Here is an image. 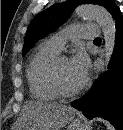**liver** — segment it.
I'll list each match as a JSON object with an SVG mask.
<instances>
[{"mask_svg":"<svg viewBox=\"0 0 123 130\" xmlns=\"http://www.w3.org/2000/svg\"><path fill=\"white\" fill-rule=\"evenodd\" d=\"M73 108L56 102L29 101L18 119V130H60L74 117Z\"/></svg>","mask_w":123,"mask_h":130,"instance_id":"6515ba94","label":"liver"}]
</instances>
